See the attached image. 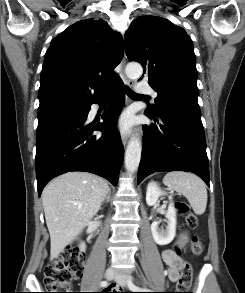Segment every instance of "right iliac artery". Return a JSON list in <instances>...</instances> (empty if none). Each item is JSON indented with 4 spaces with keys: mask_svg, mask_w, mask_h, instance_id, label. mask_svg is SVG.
Returning a JSON list of instances; mask_svg holds the SVG:
<instances>
[{
    "mask_svg": "<svg viewBox=\"0 0 245 293\" xmlns=\"http://www.w3.org/2000/svg\"><path fill=\"white\" fill-rule=\"evenodd\" d=\"M100 285H101L102 287H106V286H108V281L104 280V281H102V282L100 283Z\"/></svg>",
    "mask_w": 245,
    "mask_h": 293,
    "instance_id": "1",
    "label": "right iliac artery"
}]
</instances>
